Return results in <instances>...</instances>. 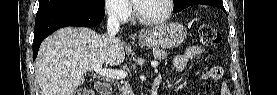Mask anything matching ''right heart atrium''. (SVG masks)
<instances>
[{"instance_id": "1", "label": "right heart atrium", "mask_w": 277, "mask_h": 95, "mask_svg": "<svg viewBox=\"0 0 277 95\" xmlns=\"http://www.w3.org/2000/svg\"><path fill=\"white\" fill-rule=\"evenodd\" d=\"M104 7L113 21L124 22L131 15V9L125 0H105Z\"/></svg>"}]
</instances>
